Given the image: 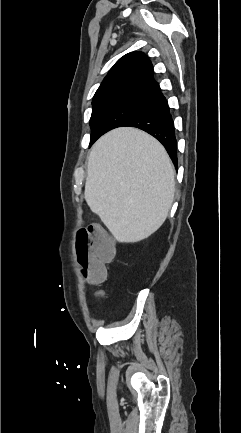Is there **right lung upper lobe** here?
Masks as SVG:
<instances>
[{
    "label": "right lung upper lobe",
    "mask_w": 241,
    "mask_h": 433,
    "mask_svg": "<svg viewBox=\"0 0 241 433\" xmlns=\"http://www.w3.org/2000/svg\"><path fill=\"white\" fill-rule=\"evenodd\" d=\"M160 89L153 78V66L143 52L121 57L96 91L93 102L117 95H154Z\"/></svg>",
    "instance_id": "1"
}]
</instances>
